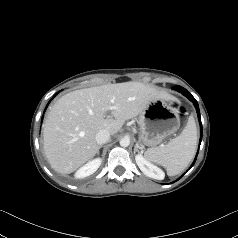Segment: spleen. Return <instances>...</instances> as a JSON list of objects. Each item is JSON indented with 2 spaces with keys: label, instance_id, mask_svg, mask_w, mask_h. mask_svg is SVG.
<instances>
[{
  "label": "spleen",
  "instance_id": "1",
  "mask_svg": "<svg viewBox=\"0 0 238 238\" xmlns=\"http://www.w3.org/2000/svg\"><path fill=\"white\" fill-rule=\"evenodd\" d=\"M197 147V128L193 117H189L186 127L176 138L166 145L152 147L145 151L148 161L163 166L169 176L181 173L193 159Z\"/></svg>",
  "mask_w": 238,
  "mask_h": 238
}]
</instances>
